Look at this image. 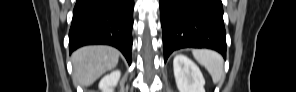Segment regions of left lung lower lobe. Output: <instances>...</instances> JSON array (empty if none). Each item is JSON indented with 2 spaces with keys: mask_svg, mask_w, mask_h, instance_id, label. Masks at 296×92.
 Segmentation results:
<instances>
[{
  "mask_svg": "<svg viewBox=\"0 0 296 92\" xmlns=\"http://www.w3.org/2000/svg\"><path fill=\"white\" fill-rule=\"evenodd\" d=\"M164 61L180 48H210L226 57L221 0H160Z\"/></svg>",
  "mask_w": 296,
  "mask_h": 92,
  "instance_id": "1",
  "label": "left lung lower lobe"
}]
</instances>
